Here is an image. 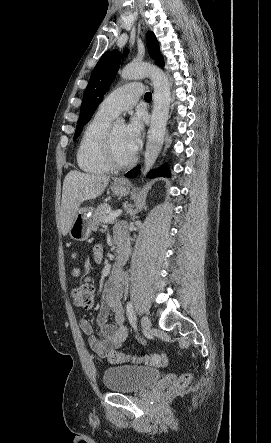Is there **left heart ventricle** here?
I'll return each instance as SVG.
<instances>
[{"mask_svg": "<svg viewBox=\"0 0 271 443\" xmlns=\"http://www.w3.org/2000/svg\"><path fill=\"white\" fill-rule=\"evenodd\" d=\"M125 126L120 123L114 124V145L118 157L122 160L129 159L133 156L125 144Z\"/></svg>", "mask_w": 271, "mask_h": 443, "instance_id": "left-heart-ventricle-1", "label": "left heart ventricle"}]
</instances>
